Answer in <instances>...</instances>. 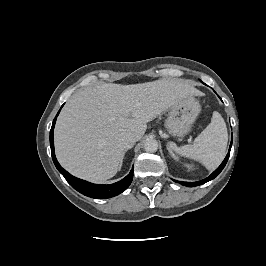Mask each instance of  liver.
Returning <instances> with one entry per match:
<instances>
[{"instance_id": "6515ba94", "label": "liver", "mask_w": 266, "mask_h": 266, "mask_svg": "<svg viewBox=\"0 0 266 266\" xmlns=\"http://www.w3.org/2000/svg\"><path fill=\"white\" fill-rule=\"evenodd\" d=\"M199 91L182 79L78 90L62 109L54 132L58 161L72 175L99 183L115 176L123 162L122 137L140 140L147 123Z\"/></svg>"}]
</instances>
